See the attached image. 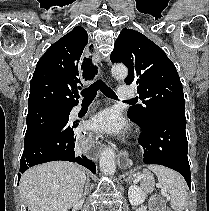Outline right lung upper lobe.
<instances>
[{"label": "right lung upper lobe", "mask_w": 209, "mask_h": 211, "mask_svg": "<svg viewBox=\"0 0 209 211\" xmlns=\"http://www.w3.org/2000/svg\"><path fill=\"white\" fill-rule=\"evenodd\" d=\"M87 43V32L77 26L47 49L30 83L28 112L78 104V84L97 74V66L84 56Z\"/></svg>", "instance_id": "1"}]
</instances>
